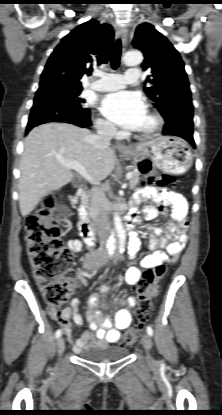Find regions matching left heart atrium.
Returning <instances> with one entry per match:
<instances>
[{
    "label": "left heart atrium",
    "instance_id": "1",
    "mask_svg": "<svg viewBox=\"0 0 222 415\" xmlns=\"http://www.w3.org/2000/svg\"><path fill=\"white\" fill-rule=\"evenodd\" d=\"M101 112L111 122L126 129H135L146 113L142 96L134 91H119L104 97Z\"/></svg>",
    "mask_w": 222,
    "mask_h": 415
}]
</instances>
